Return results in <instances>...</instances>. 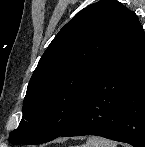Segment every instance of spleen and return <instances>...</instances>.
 Segmentation results:
<instances>
[{"mask_svg":"<svg viewBox=\"0 0 145 147\" xmlns=\"http://www.w3.org/2000/svg\"><path fill=\"white\" fill-rule=\"evenodd\" d=\"M81 147H117L116 143L100 137H89Z\"/></svg>","mask_w":145,"mask_h":147,"instance_id":"spleen-1","label":"spleen"}]
</instances>
